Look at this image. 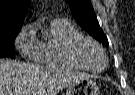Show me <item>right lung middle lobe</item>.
Instances as JSON below:
<instances>
[{
    "label": "right lung middle lobe",
    "instance_id": "obj_1",
    "mask_svg": "<svg viewBox=\"0 0 135 95\" xmlns=\"http://www.w3.org/2000/svg\"><path fill=\"white\" fill-rule=\"evenodd\" d=\"M19 31L0 35V58L14 57L13 43Z\"/></svg>",
    "mask_w": 135,
    "mask_h": 95
}]
</instances>
